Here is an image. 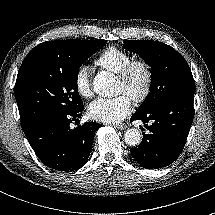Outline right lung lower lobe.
<instances>
[{
    "mask_svg": "<svg viewBox=\"0 0 215 215\" xmlns=\"http://www.w3.org/2000/svg\"><path fill=\"white\" fill-rule=\"evenodd\" d=\"M83 110L84 106L75 112H47L22 126L29 144L44 165L66 172L85 165L94 132L102 125L86 122L71 129L70 124Z\"/></svg>",
    "mask_w": 215,
    "mask_h": 215,
    "instance_id": "98d812e1",
    "label": "right lung lower lobe"
}]
</instances>
